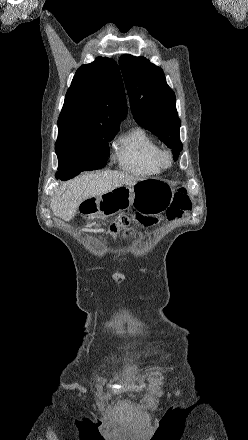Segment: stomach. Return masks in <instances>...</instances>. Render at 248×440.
I'll return each mask as SVG.
<instances>
[{"label": "stomach", "instance_id": "1", "mask_svg": "<svg viewBox=\"0 0 248 440\" xmlns=\"http://www.w3.org/2000/svg\"><path fill=\"white\" fill-rule=\"evenodd\" d=\"M173 189L157 179H142L133 186H120L97 197L87 199L91 204L81 206V218H109L110 214L133 205L142 211L158 214L170 204ZM86 201V200H85Z\"/></svg>", "mask_w": 248, "mask_h": 440}]
</instances>
